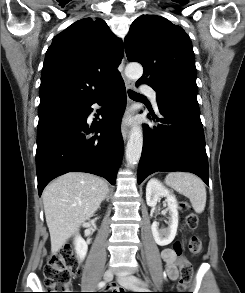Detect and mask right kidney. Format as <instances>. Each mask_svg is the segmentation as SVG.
Wrapping results in <instances>:
<instances>
[{"label":"right kidney","instance_id":"obj_1","mask_svg":"<svg viewBox=\"0 0 245 293\" xmlns=\"http://www.w3.org/2000/svg\"><path fill=\"white\" fill-rule=\"evenodd\" d=\"M74 246L77 256L83 260L88 251V244L79 234H77L74 238Z\"/></svg>","mask_w":245,"mask_h":293}]
</instances>
